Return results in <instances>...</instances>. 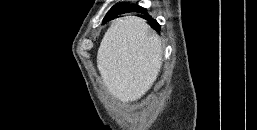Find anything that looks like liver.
Listing matches in <instances>:
<instances>
[{
	"instance_id": "1",
	"label": "liver",
	"mask_w": 257,
	"mask_h": 130,
	"mask_svg": "<svg viewBox=\"0 0 257 130\" xmlns=\"http://www.w3.org/2000/svg\"><path fill=\"white\" fill-rule=\"evenodd\" d=\"M162 66L159 36L136 16L114 20L97 53V67L108 92L122 103L140 99Z\"/></svg>"
}]
</instances>
